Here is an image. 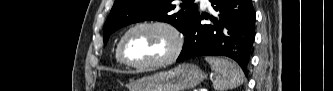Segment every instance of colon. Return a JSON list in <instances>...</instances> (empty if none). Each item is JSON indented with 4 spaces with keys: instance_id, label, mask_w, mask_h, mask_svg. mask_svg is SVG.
<instances>
[{
    "instance_id": "5ec220e1",
    "label": "colon",
    "mask_w": 333,
    "mask_h": 91,
    "mask_svg": "<svg viewBox=\"0 0 333 91\" xmlns=\"http://www.w3.org/2000/svg\"><path fill=\"white\" fill-rule=\"evenodd\" d=\"M107 91H113V89H112V88H109V89H107Z\"/></svg>"
}]
</instances>
